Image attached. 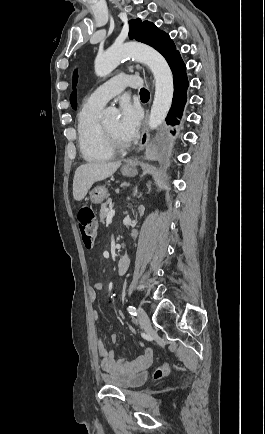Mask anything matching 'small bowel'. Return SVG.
Wrapping results in <instances>:
<instances>
[{"label": "small bowel", "mask_w": 265, "mask_h": 434, "mask_svg": "<svg viewBox=\"0 0 265 434\" xmlns=\"http://www.w3.org/2000/svg\"><path fill=\"white\" fill-rule=\"evenodd\" d=\"M102 289L103 285L101 282L94 283L88 290L89 300L94 302L97 297V292ZM118 313L122 318L125 316L121 310ZM91 317L94 321H98L99 312L93 310ZM112 339L114 341L117 340L115 336H113ZM136 344L143 350L142 355L136 358L118 360L116 358L117 351L114 349L108 350L101 337H95L94 348L96 359L100 368L109 375L106 377V380L113 383V385H118L119 383L122 386H135L146 381L147 374L143 370L151 363L153 350L145 347L141 341H137ZM106 373H103V376H106Z\"/></svg>", "instance_id": "c3829d8e"}]
</instances>
